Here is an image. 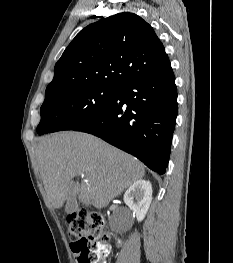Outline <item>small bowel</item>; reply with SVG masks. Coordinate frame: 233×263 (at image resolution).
Listing matches in <instances>:
<instances>
[{"mask_svg":"<svg viewBox=\"0 0 233 263\" xmlns=\"http://www.w3.org/2000/svg\"><path fill=\"white\" fill-rule=\"evenodd\" d=\"M111 251V247L108 245L106 248H105V256H107ZM103 263H106L105 261H103Z\"/></svg>","mask_w":233,"mask_h":263,"instance_id":"obj_1","label":"small bowel"}]
</instances>
